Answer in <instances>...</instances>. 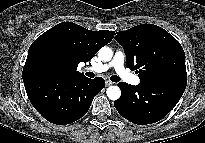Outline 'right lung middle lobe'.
Here are the masks:
<instances>
[{
	"mask_svg": "<svg viewBox=\"0 0 205 143\" xmlns=\"http://www.w3.org/2000/svg\"><path fill=\"white\" fill-rule=\"evenodd\" d=\"M62 56L60 52L53 48H44L38 55L39 64L47 70H55L60 65Z\"/></svg>",
	"mask_w": 205,
	"mask_h": 143,
	"instance_id": "right-lung-middle-lobe-1",
	"label": "right lung middle lobe"
}]
</instances>
